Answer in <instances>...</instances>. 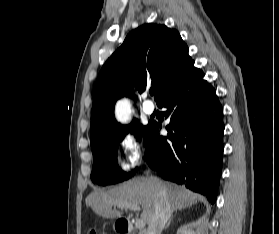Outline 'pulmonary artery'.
<instances>
[{
  "label": "pulmonary artery",
  "mask_w": 279,
  "mask_h": 234,
  "mask_svg": "<svg viewBox=\"0 0 279 234\" xmlns=\"http://www.w3.org/2000/svg\"><path fill=\"white\" fill-rule=\"evenodd\" d=\"M143 111L148 115L153 114L155 111L154 104L150 100H145L143 103Z\"/></svg>",
  "instance_id": "pulmonary-artery-1"
}]
</instances>
